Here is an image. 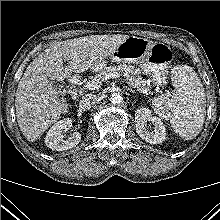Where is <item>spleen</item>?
Segmentation results:
<instances>
[{"instance_id":"obj_1","label":"spleen","mask_w":220,"mask_h":220,"mask_svg":"<svg viewBox=\"0 0 220 220\" xmlns=\"http://www.w3.org/2000/svg\"><path fill=\"white\" fill-rule=\"evenodd\" d=\"M172 97L160 96L154 99L155 111L170 118L174 131L182 138L191 140L202 129L206 110L205 92L201 80L192 67L177 65L172 69Z\"/></svg>"}]
</instances>
